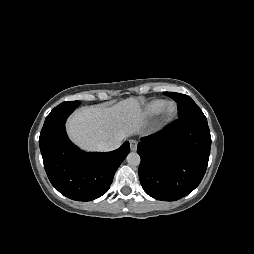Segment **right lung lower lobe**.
I'll list each match as a JSON object with an SVG mask.
<instances>
[{
  "label": "right lung lower lobe",
  "instance_id": "98d812e1",
  "mask_svg": "<svg viewBox=\"0 0 254 254\" xmlns=\"http://www.w3.org/2000/svg\"><path fill=\"white\" fill-rule=\"evenodd\" d=\"M77 104L61 103L46 117L39 137L45 171L51 184L64 196L91 201L104 195L127 154L129 142L111 152H84L68 138L67 117Z\"/></svg>",
  "mask_w": 254,
  "mask_h": 254
}]
</instances>
